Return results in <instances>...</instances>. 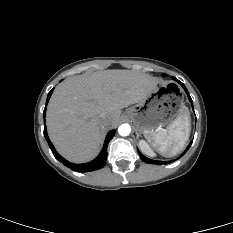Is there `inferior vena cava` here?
<instances>
[{
	"label": "inferior vena cava",
	"mask_w": 233,
	"mask_h": 233,
	"mask_svg": "<svg viewBox=\"0 0 233 233\" xmlns=\"http://www.w3.org/2000/svg\"><path fill=\"white\" fill-rule=\"evenodd\" d=\"M100 124H101V126H106V125L108 124L107 119L104 118V117H102V118L100 119Z\"/></svg>",
	"instance_id": "obj_1"
}]
</instances>
